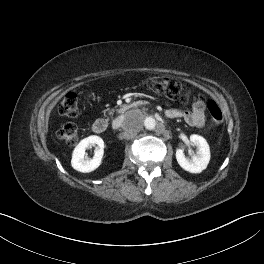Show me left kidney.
Instances as JSON below:
<instances>
[{
	"instance_id": "5707ae66",
	"label": "left kidney",
	"mask_w": 264,
	"mask_h": 264,
	"mask_svg": "<svg viewBox=\"0 0 264 264\" xmlns=\"http://www.w3.org/2000/svg\"><path fill=\"white\" fill-rule=\"evenodd\" d=\"M190 141L193 146L197 147L196 154L187 159L183 153V150L178 148L176 150V159L178 164L186 171L190 173H200L206 169L210 161V148L207 141L199 135L192 134Z\"/></svg>"
}]
</instances>
